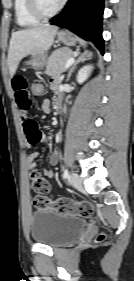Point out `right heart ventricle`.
<instances>
[{
	"instance_id": "obj_1",
	"label": "right heart ventricle",
	"mask_w": 134,
	"mask_h": 281,
	"mask_svg": "<svg viewBox=\"0 0 134 281\" xmlns=\"http://www.w3.org/2000/svg\"><path fill=\"white\" fill-rule=\"evenodd\" d=\"M14 14L17 24L21 27H32L40 22V18L30 12L27 0H14Z\"/></svg>"
}]
</instances>
